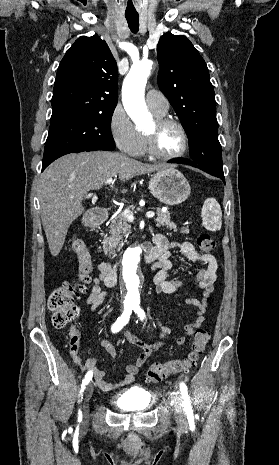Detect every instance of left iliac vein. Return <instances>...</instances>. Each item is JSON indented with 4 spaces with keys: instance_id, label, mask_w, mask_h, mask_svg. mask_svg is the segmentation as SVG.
Returning <instances> with one entry per match:
<instances>
[{
    "instance_id": "1",
    "label": "left iliac vein",
    "mask_w": 279,
    "mask_h": 465,
    "mask_svg": "<svg viewBox=\"0 0 279 465\" xmlns=\"http://www.w3.org/2000/svg\"><path fill=\"white\" fill-rule=\"evenodd\" d=\"M175 418L179 425L184 426L187 424L184 402L181 394L178 392L175 397Z\"/></svg>"
}]
</instances>
